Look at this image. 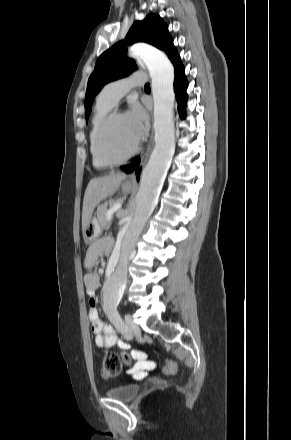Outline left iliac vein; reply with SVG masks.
Segmentation results:
<instances>
[{
	"label": "left iliac vein",
	"mask_w": 291,
	"mask_h": 440,
	"mask_svg": "<svg viewBox=\"0 0 291 440\" xmlns=\"http://www.w3.org/2000/svg\"><path fill=\"white\" fill-rule=\"evenodd\" d=\"M126 325L128 326L129 332L125 333L126 339H132L133 336H139L141 331L139 325H137L130 315L125 316Z\"/></svg>",
	"instance_id": "obj_1"
}]
</instances>
